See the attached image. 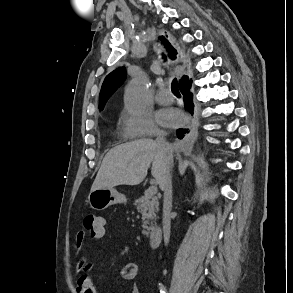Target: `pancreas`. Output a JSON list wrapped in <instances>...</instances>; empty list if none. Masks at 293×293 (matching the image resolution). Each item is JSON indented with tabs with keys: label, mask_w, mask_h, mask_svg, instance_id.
Returning <instances> with one entry per match:
<instances>
[{
	"label": "pancreas",
	"mask_w": 293,
	"mask_h": 293,
	"mask_svg": "<svg viewBox=\"0 0 293 293\" xmlns=\"http://www.w3.org/2000/svg\"><path fill=\"white\" fill-rule=\"evenodd\" d=\"M134 205L137 206L138 211L142 214L143 231L142 233L148 236L149 231L154 227L150 221L156 219V212H158L159 202L156 196L148 195L147 191L139 199L135 200Z\"/></svg>",
	"instance_id": "pancreas-1"
}]
</instances>
